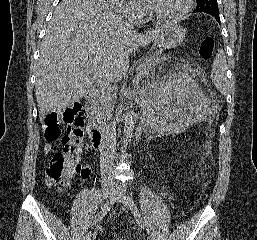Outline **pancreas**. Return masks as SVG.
Segmentation results:
<instances>
[{
	"label": "pancreas",
	"mask_w": 257,
	"mask_h": 240,
	"mask_svg": "<svg viewBox=\"0 0 257 240\" xmlns=\"http://www.w3.org/2000/svg\"><path fill=\"white\" fill-rule=\"evenodd\" d=\"M167 59L164 55L155 54L148 59L144 60L141 65H139L136 69L137 79L139 81L141 79H146L150 71L155 69L156 65H158L162 60ZM139 82L135 83L137 86ZM111 95L107 91H99L96 93L95 97L90 101L89 108L96 113L99 117H103L106 110L110 106Z\"/></svg>",
	"instance_id": "1"
}]
</instances>
